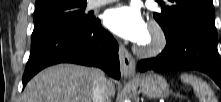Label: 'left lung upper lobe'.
<instances>
[{"label": "left lung upper lobe", "mask_w": 221, "mask_h": 102, "mask_svg": "<svg viewBox=\"0 0 221 102\" xmlns=\"http://www.w3.org/2000/svg\"><path fill=\"white\" fill-rule=\"evenodd\" d=\"M161 13H154V18L169 37L181 28L190 26L202 30L217 39L215 28V9L212 0H169Z\"/></svg>", "instance_id": "left-lung-upper-lobe-1"}]
</instances>
